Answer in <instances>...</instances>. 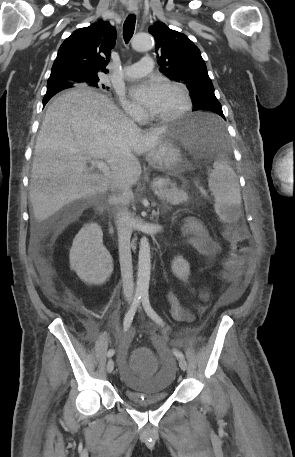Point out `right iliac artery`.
Here are the masks:
<instances>
[{
	"label": "right iliac artery",
	"mask_w": 295,
	"mask_h": 457,
	"mask_svg": "<svg viewBox=\"0 0 295 457\" xmlns=\"http://www.w3.org/2000/svg\"><path fill=\"white\" fill-rule=\"evenodd\" d=\"M141 297H142L141 294H135L132 305H131L130 309L128 310V312L126 313L125 318H124V322H123L124 331H127L129 329V327L132 323V320L134 318V315L136 313V309L140 303ZM114 352L115 351L113 349H110L107 353V356L108 357L113 356Z\"/></svg>",
	"instance_id": "82829eb1"
}]
</instances>
